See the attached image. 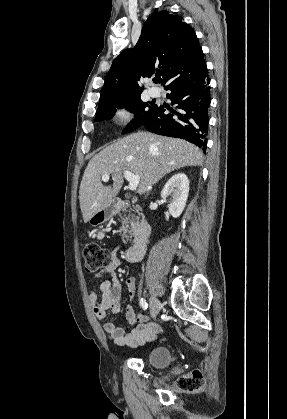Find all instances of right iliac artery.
<instances>
[{"instance_id":"obj_1","label":"right iliac artery","mask_w":287,"mask_h":419,"mask_svg":"<svg viewBox=\"0 0 287 419\" xmlns=\"http://www.w3.org/2000/svg\"><path fill=\"white\" fill-rule=\"evenodd\" d=\"M140 305L144 310H146L148 308V304H147L146 300L143 299V298H141V300H140Z\"/></svg>"}]
</instances>
